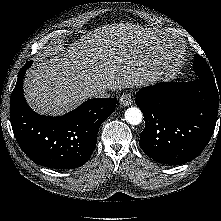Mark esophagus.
Listing matches in <instances>:
<instances>
[{
  "instance_id": "34e87169",
  "label": "esophagus",
  "mask_w": 221,
  "mask_h": 221,
  "mask_svg": "<svg viewBox=\"0 0 221 221\" xmlns=\"http://www.w3.org/2000/svg\"><path fill=\"white\" fill-rule=\"evenodd\" d=\"M119 103L121 106H130L132 104V98L129 94H123L119 99Z\"/></svg>"
}]
</instances>
